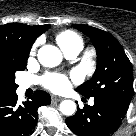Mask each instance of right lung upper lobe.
I'll return each instance as SVG.
<instances>
[{
    "label": "right lung upper lobe",
    "instance_id": "right-lung-upper-lobe-1",
    "mask_svg": "<svg viewBox=\"0 0 136 136\" xmlns=\"http://www.w3.org/2000/svg\"><path fill=\"white\" fill-rule=\"evenodd\" d=\"M49 27V25L29 26L21 23L0 25V48L29 53L35 39Z\"/></svg>",
    "mask_w": 136,
    "mask_h": 136
}]
</instances>
